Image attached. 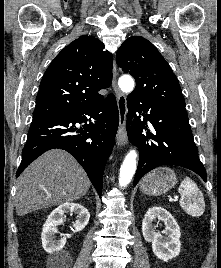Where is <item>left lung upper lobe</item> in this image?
Instances as JSON below:
<instances>
[{
  "label": "left lung upper lobe",
  "mask_w": 221,
  "mask_h": 268,
  "mask_svg": "<svg viewBox=\"0 0 221 268\" xmlns=\"http://www.w3.org/2000/svg\"><path fill=\"white\" fill-rule=\"evenodd\" d=\"M116 61L136 81L131 95L151 102L185 106L179 82L172 69L147 39L133 36L124 41Z\"/></svg>",
  "instance_id": "obj_1"
}]
</instances>
